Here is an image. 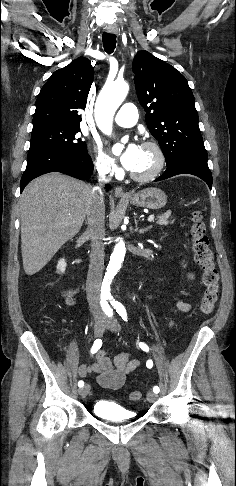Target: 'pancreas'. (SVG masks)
Wrapping results in <instances>:
<instances>
[{
  "instance_id": "pancreas-1",
  "label": "pancreas",
  "mask_w": 236,
  "mask_h": 486,
  "mask_svg": "<svg viewBox=\"0 0 236 486\" xmlns=\"http://www.w3.org/2000/svg\"><path fill=\"white\" fill-rule=\"evenodd\" d=\"M169 214L165 213L163 215L157 216V224L158 225H164L167 226L169 224H172L174 221H169Z\"/></svg>"
}]
</instances>
